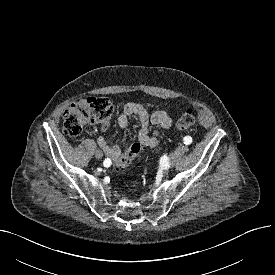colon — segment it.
Masks as SVG:
<instances>
[{"mask_svg":"<svg viewBox=\"0 0 275 275\" xmlns=\"http://www.w3.org/2000/svg\"><path fill=\"white\" fill-rule=\"evenodd\" d=\"M113 114V104L106 97H88L72 104L63 114V129L69 136H78L89 122L106 124ZM197 122V113L194 109H188L177 121L179 129H187ZM141 146L134 144L128 157L114 163L116 170L128 166L139 154ZM120 185H125L124 179L119 180Z\"/></svg>","mask_w":275,"mask_h":275,"instance_id":"5ec220e1","label":"colon"}]
</instances>
